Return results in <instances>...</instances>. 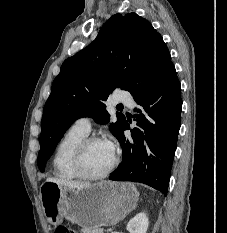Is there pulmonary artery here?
Listing matches in <instances>:
<instances>
[{"mask_svg":"<svg viewBox=\"0 0 227 233\" xmlns=\"http://www.w3.org/2000/svg\"><path fill=\"white\" fill-rule=\"evenodd\" d=\"M118 102H121V103L127 105L130 108L134 106L133 99L130 96H128L127 94L121 95L118 98ZM72 127L77 129L78 131H81V132H83L85 134H88L91 131L90 118H88V117L79 118L74 122Z\"/></svg>","mask_w":227,"mask_h":233,"instance_id":"1","label":"pulmonary artery"}]
</instances>
